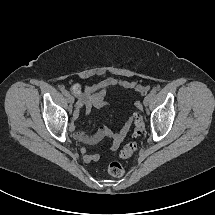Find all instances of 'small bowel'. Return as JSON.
Returning <instances> with one entry per match:
<instances>
[{
    "label": "small bowel",
    "instance_id": "small-bowel-1",
    "mask_svg": "<svg viewBox=\"0 0 215 215\" xmlns=\"http://www.w3.org/2000/svg\"><path fill=\"white\" fill-rule=\"evenodd\" d=\"M114 87L134 90L141 95L146 94L149 89L148 86L138 84L135 81L118 80L114 77H107L97 84L86 86L83 91H81L78 87L76 89H73L74 92L78 95L77 107H84L88 114H90L93 110L102 108L104 105L108 104V101L106 99V92ZM136 107L140 108V104L136 103ZM77 117L78 110L74 113V119L76 120ZM130 126L131 119H128L118 132H113L111 129L102 125L95 133L89 134L76 130L74 124L72 125V131L74 137L78 141L87 145L97 144L106 137L112 138L111 149L116 150L127 135ZM81 152L86 162L98 161L100 158L99 153H88L85 148H82Z\"/></svg>",
    "mask_w": 215,
    "mask_h": 215
}]
</instances>
